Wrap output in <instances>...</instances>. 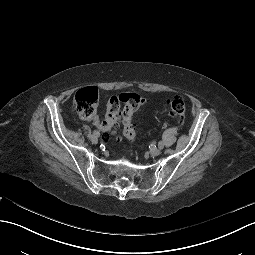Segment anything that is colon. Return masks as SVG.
Masks as SVG:
<instances>
[{
  "label": "colon",
  "instance_id": "1",
  "mask_svg": "<svg viewBox=\"0 0 255 255\" xmlns=\"http://www.w3.org/2000/svg\"><path fill=\"white\" fill-rule=\"evenodd\" d=\"M144 99L137 93H122L112 96L107 104L105 117L101 128L106 137L112 133L117 123L121 120L125 137L133 141L136 137L134 114L143 104ZM98 91L93 87L80 89L74 96L73 105L77 113L84 119H92L96 115ZM123 104V107H121ZM168 106L171 115L179 122L185 118L186 108L183 99L175 96L169 100Z\"/></svg>",
  "mask_w": 255,
  "mask_h": 255
}]
</instances>
